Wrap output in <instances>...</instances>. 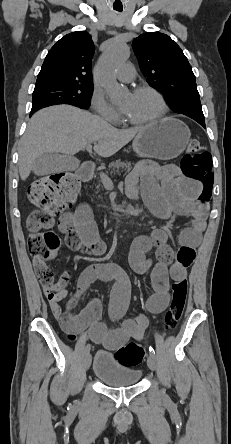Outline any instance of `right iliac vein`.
<instances>
[{"instance_id":"63e3f726","label":"right iliac vein","mask_w":231,"mask_h":444,"mask_svg":"<svg viewBox=\"0 0 231 444\" xmlns=\"http://www.w3.org/2000/svg\"><path fill=\"white\" fill-rule=\"evenodd\" d=\"M92 361V356L90 353H87L84 358V369L87 371L90 368Z\"/></svg>"}]
</instances>
